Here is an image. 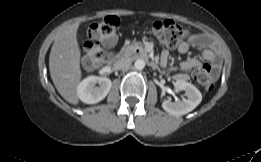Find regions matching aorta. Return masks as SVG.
Wrapping results in <instances>:
<instances>
[{
    "label": "aorta",
    "instance_id": "obj_1",
    "mask_svg": "<svg viewBox=\"0 0 261 162\" xmlns=\"http://www.w3.org/2000/svg\"><path fill=\"white\" fill-rule=\"evenodd\" d=\"M134 66L137 70H142L145 67V61L143 59H137Z\"/></svg>",
    "mask_w": 261,
    "mask_h": 162
}]
</instances>
